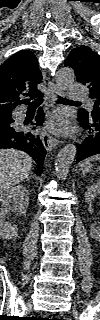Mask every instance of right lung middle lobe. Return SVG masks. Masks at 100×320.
Returning a JSON list of instances; mask_svg holds the SVG:
<instances>
[{"label":"right lung middle lobe","instance_id":"obj_1","mask_svg":"<svg viewBox=\"0 0 100 320\" xmlns=\"http://www.w3.org/2000/svg\"><path fill=\"white\" fill-rule=\"evenodd\" d=\"M5 120H0V123L4 122Z\"/></svg>","mask_w":100,"mask_h":320}]
</instances>
